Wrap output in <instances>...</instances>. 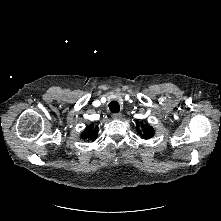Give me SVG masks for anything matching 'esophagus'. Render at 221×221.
Here are the masks:
<instances>
[{
  "instance_id": "34e87169",
  "label": "esophagus",
  "mask_w": 221,
  "mask_h": 221,
  "mask_svg": "<svg viewBox=\"0 0 221 221\" xmlns=\"http://www.w3.org/2000/svg\"><path fill=\"white\" fill-rule=\"evenodd\" d=\"M122 117V114L121 113H117V114H113L112 115V118L113 119H120Z\"/></svg>"
}]
</instances>
